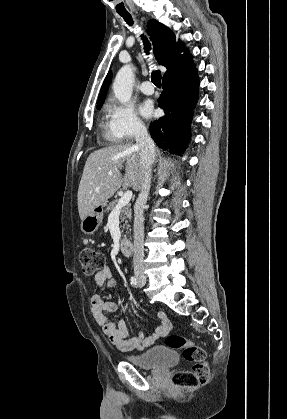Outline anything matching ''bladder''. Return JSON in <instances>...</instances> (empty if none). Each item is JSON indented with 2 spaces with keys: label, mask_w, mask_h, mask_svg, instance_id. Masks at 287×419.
Instances as JSON below:
<instances>
[{
  "label": "bladder",
  "mask_w": 287,
  "mask_h": 419,
  "mask_svg": "<svg viewBox=\"0 0 287 419\" xmlns=\"http://www.w3.org/2000/svg\"><path fill=\"white\" fill-rule=\"evenodd\" d=\"M132 364L150 370H166L178 362V357L168 346H155L145 352L127 357Z\"/></svg>",
  "instance_id": "1"
}]
</instances>
